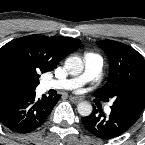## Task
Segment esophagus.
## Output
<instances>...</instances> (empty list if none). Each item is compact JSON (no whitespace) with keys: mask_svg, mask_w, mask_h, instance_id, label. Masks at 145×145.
<instances>
[{"mask_svg":"<svg viewBox=\"0 0 145 145\" xmlns=\"http://www.w3.org/2000/svg\"><path fill=\"white\" fill-rule=\"evenodd\" d=\"M70 100H71L74 104H77V103H79V102L82 100V98L79 97V96H71V97H70Z\"/></svg>","mask_w":145,"mask_h":145,"instance_id":"34e87169","label":"esophagus"}]
</instances>
